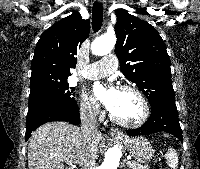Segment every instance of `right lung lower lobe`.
<instances>
[{"instance_id": "right-lung-lower-lobe-1", "label": "right lung lower lobe", "mask_w": 200, "mask_h": 169, "mask_svg": "<svg viewBox=\"0 0 200 169\" xmlns=\"http://www.w3.org/2000/svg\"><path fill=\"white\" fill-rule=\"evenodd\" d=\"M78 111V105L70 109L58 107H40L28 110L25 139L28 140L34 130L47 122L67 121L71 124H79L80 117Z\"/></svg>"}]
</instances>
